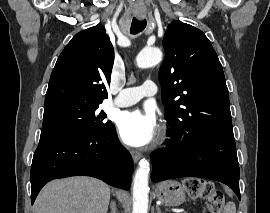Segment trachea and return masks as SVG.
Instances as JSON below:
<instances>
[{
  "mask_svg": "<svg viewBox=\"0 0 270 213\" xmlns=\"http://www.w3.org/2000/svg\"><path fill=\"white\" fill-rule=\"evenodd\" d=\"M146 24H147L146 20L139 21L134 18L132 20L131 29H130L131 34H138L142 32L145 29Z\"/></svg>",
  "mask_w": 270,
  "mask_h": 213,
  "instance_id": "1",
  "label": "trachea"
}]
</instances>
